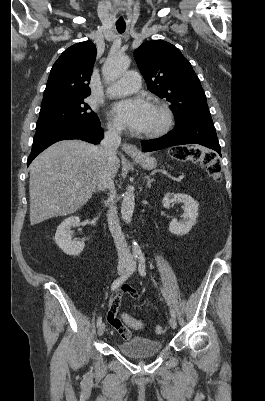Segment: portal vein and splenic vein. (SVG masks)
Masks as SVG:
<instances>
[{
  "instance_id": "18ae733b",
  "label": "portal vein and splenic vein",
  "mask_w": 265,
  "mask_h": 401,
  "mask_svg": "<svg viewBox=\"0 0 265 401\" xmlns=\"http://www.w3.org/2000/svg\"><path fill=\"white\" fill-rule=\"evenodd\" d=\"M178 178H179L180 181H183L184 178H186V175L179 174Z\"/></svg>"
}]
</instances>
